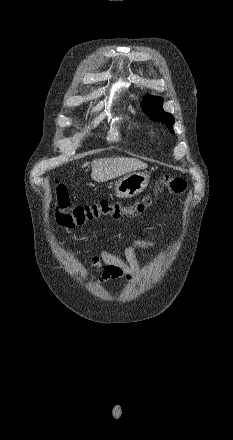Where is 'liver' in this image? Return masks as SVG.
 <instances>
[{
    "instance_id": "obj_1",
    "label": "liver",
    "mask_w": 233,
    "mask_h": 440,
    "mask_svg": "<svg viewBox=\"0 0 233 440\" xmlns=\"http://www.w3.org/2000/svg\"><path fill=\"white\" fill-rule=\"evenodd\" d=\"M84 163L82 167H86ZM91 178L97 182H105L121 175L146 169L148 165L138 159L125 157H111L95 159L91 162Z\"/></svg>"
}]
</instances>
